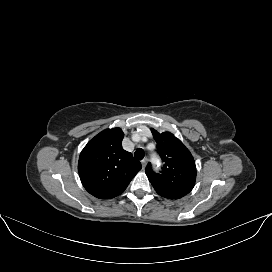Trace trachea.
Instances as JSON below:
<instances>
[{
	"label": "trachea",
	"instance_id": "3493384b",
	"mask_svg": "<svg viewBox=\"0 0 272 272\" xmlns=\"http://www.w3.org/2000/svg\"><path fill=\"white\" fill-rule=\"evenodd\" d=\"M134 157L138 160H142L144 158V150L139 148L135 151Z\"/></svg>",
	"mask_w": 272,
	"mask_h": 272
}]
</instances>
